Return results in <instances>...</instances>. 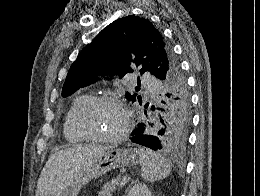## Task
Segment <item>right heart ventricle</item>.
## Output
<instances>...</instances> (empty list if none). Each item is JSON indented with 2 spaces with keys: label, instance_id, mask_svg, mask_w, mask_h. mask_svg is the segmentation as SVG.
Segmentation results:
<instances>
[{
  "label": "right heart ventricle",
  "instance_id": "1",
  "mask_svg": "<svg viewBox=\"0 0 260 196\" xmlns=\"http://www.w3.org/2000/svg\"><path fill=\"white\" fill-rule=\"evenodd\" d=\"M92 98L90 93H81L73 101L67 112L63 125V134L66 141L72 145L80 144L87 140L78 130L76 125V117L79 110Z\"/></svg>",
  "mask_w": 260,
  "mask_h": 196
}]
</instances>
